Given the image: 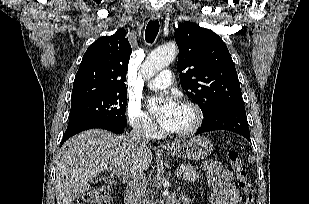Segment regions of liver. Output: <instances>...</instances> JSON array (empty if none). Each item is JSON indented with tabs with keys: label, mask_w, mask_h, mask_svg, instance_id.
Returning <instances> with one entry per match:
<instances>
[{
	"label": "liver",
	"mask_w": 309,
	"mask_h": 204,
	"mask_svg": "<svg viewBox=\"0 0 309 204\" xmlns=\"http://www.w3.org/2000/svg\"><path fill=\"white\" fill-rule=\"evenodd\" d=\"M151 162V150H139L124 135L102 129L82 132L66 141L57 154V204H72L90 189L89 181L105 170L120 169L131 178L135 172L148 169Z\"/></svg>",
	"instance_id": "liver-1"
}]
</instances>
